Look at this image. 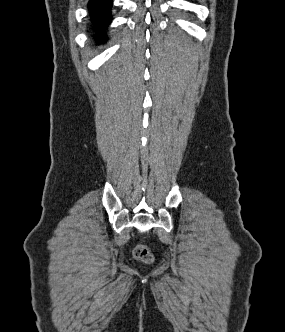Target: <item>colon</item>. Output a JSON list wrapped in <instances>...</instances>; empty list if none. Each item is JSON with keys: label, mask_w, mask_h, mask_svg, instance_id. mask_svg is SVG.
Masks as SVG:
<instances>
[{"label": "colon", "mask_w": 285, "mask_h": 332, "mask_svg": "<svg viewBox=\"0 0 285 332\" xmlns=\"http://www.w3.org/2000/svg\"><path fill=\"white\" fill-rule=\"evenodd\" d=\"M134 257L139 260L142 261L144 263H149L152 261L153 256L150 253V251L148 250V248L144 245H138L135 249H134Z\"/></svg>", "instance_id": "5ec220e1"}]
</instances>
